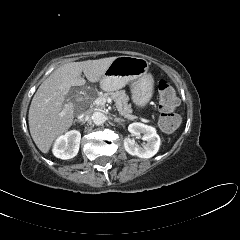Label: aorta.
<instances>
[{
  "label": "aorta",
  "mask_w": 240,
  "mask_h": 240,
  "mask_svg": "<svg viewBox=\"0 0 240 240\" xmlns=\"http://www.w3.org/2000/svg\"><path fill=\"white\" fill-rule=\"evenodd\" d=\"M92 121L95 125H101L105 122V115L102 112H94L92 114Z\"/></svg>",
  "instance_id": "762f6f07"
}]
</instances>
